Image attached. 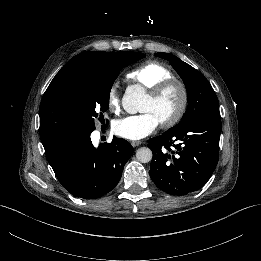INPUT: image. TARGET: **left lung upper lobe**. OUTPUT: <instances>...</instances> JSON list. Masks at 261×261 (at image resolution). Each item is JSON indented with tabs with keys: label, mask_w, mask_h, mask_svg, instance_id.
<instances>
[{
	"label": "left lung upper lobe",
	"mask_w": 261,
	"mask_h": 261,
	"mask_svg": "<svg viewBox=\"0 0 261 261\" xmlns=\"http://www.w3.org/2000/svg\"><path fill=\"white\" fill-rule=\"evenodd\" d=\"M158 57L170 62L185 83L189 107L181 122L168 131H179L199 119L220 121L219 105L216 94L209 81L198 70L169 53H156Z\"/></svg>",
	"instance_id": "left-lung-upper-lobe-1"
}]
</instances>
